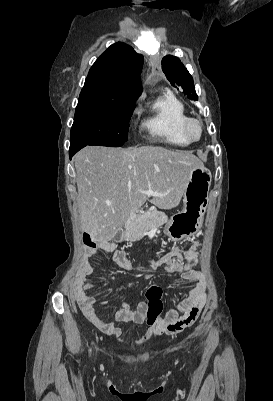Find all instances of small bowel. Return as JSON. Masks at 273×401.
<instances>
[{
    "mask_svg": "<svg viewBox=\"0 0 273 401\" xmlns=\"http://www.w3.org/2000/svg\"><path fill=\"white\" fill-rule=\"evenodd\" d=\"M95 253L93 260H84L91 263V268L86 271L93 272L98 263L103 260L105 254H109L115 266L124 271L132 272L143 268L142 265H135L124 250L117 248L114 242L92 243ZM198 260L197 245L188 249L176 247L148 262L150 268L162 267L165 272L178 273L181 276L180 283L194 282L195 286L189 291L188 295L180 301L176 307L160 317L147 332V340L160 336L172 335L182 331L185 327L193 324L207 302V283L202 273L193 268L192 265ZM176 285H179L176 284ZM171 287H175V284ZM128 291L124 292V297L128 296ZM75 302L79 304L85 318L96 326L103 333L117 338L120 343L128 345L120 339L122 329L118 323L144 324L147 303L143 301L130 303L123 299L119 306L113 308L114 320L107 321L97 312V305L107 306V301L96 300L93 290H78L75 293ZM95 302V303H94Z\"/></svg>",
    "mask_w": 273,
    "mask_h": 401,
    "instance_id": "obj_1",
    "label": "small bowel"
}]
</instances>
